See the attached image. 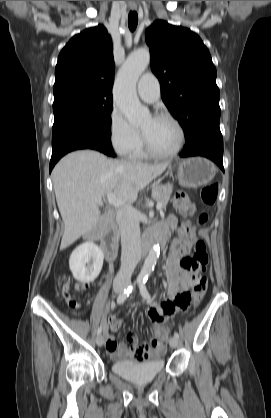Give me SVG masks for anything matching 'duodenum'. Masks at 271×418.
<instances>
[{"label": "duodenum", "instance_id": "1", "mask_svg": "<svg viewBox=\"0 0 271 418\" xmlns=\"http://www.w3.org/2000/svg\"><path fill=\"white\" fill-rule=\"evenodd\" d=\"M101 239L102 250L108 261H113L117 250V226L115 215L109 212L106 223L100 235L91 233L88 235L89 240ZM167 232L161 229H155L149 232L145 237L142 245V253L145 254L156 242L165 243Z\"/></svg>", "mask_w": 271, "mask_h": 418}]
</instances>
